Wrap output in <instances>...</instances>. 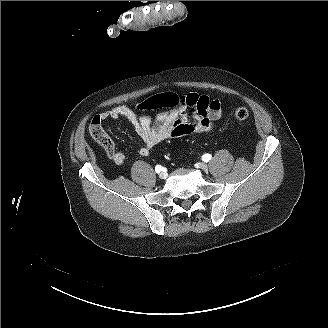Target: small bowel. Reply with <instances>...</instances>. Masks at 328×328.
Returning a JSON list of instances; mask_svg holds the SVG:
<instances>
[{
	"label": "small bowel",
	"instance_id": "1",
	"mask_svg": "<svg viewBox=\"0 0 328 328\" xmlns=\"http://www.w3.org/2000/svg\"><path fill=\"white\" fill-rule=\"evenodd\" d=\"M221 116L222 105L219 99L195 93L182 96L179 105L159 115L155 123L150 116L138 115L126 105L115 106L99 115L102 120L120 117L127 119L142 141L139 154L143 157L148 156L152 148L161 142L211 131ZM107 154L118 165L126 160L124 153L115 148L107 151Z\"/></svg>",
	"mask_w": 328,
	"mask_h": 328
}]
</instances>
